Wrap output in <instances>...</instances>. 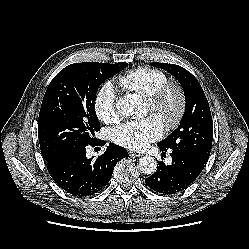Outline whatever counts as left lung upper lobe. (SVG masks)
Returning a JSON list of instances; mask_svg holds the SVG:
<instances>
[{
  "label": "left lung upper lobe",
  "instance_id": "1",
  "mask_svg": "<svg viewBox=\"0 0 249 249\" xmlns=\"http://www.w3.org/2000/svg\"><path fill=\"white\" fill-rule=\"evenodd\" d=\"M170 72L181 84L186 108L180 125L157 145L168 150L188 153L205 164L209 158L213 122L207 98L198 80L186 69L168 63H153Z\"/></svg>",
  "mask_w": 249,
  "mask_h": 249
}]
</instances>
